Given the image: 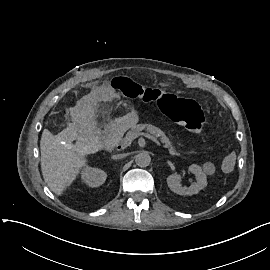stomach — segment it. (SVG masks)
I'll return each mask as SVG.
<instances>
[{"mask_svg":"<svg viewBox=\"0 0 270 270\" xmlns=\"http://www.w3.org/2000/svg\"><path fill=\"white\" fill-rule=\"evenodd\" d=\"M127 116V119L123 120L121 124L125 128H130L139 121L138 113L134 109H131Z\"/></svg>","mask_w":270,"mask_h":270,"instance_id":"1","label":"stomach"}]
</instances>
